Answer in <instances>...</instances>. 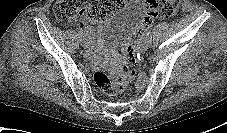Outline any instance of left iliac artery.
Returning <instances> with one entry per match:
<instances>
[{
    "instance_id": "obj_1",
    "label": "left iliac artery",
    "mask_w": 227,
    "mask_h": 133,
    "mask_svg": "<svg viewBox=\"0 0 227 133\" xmlns=\"http://www.w3.org/2000/svg\"><path fill=\"white\" fill-rule=\"evenodd\" d=\"M146 35L151 37V29H148V30L146 31Z\"/></svg>"
}]
</instances>
